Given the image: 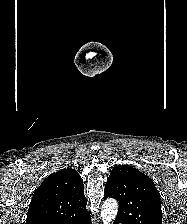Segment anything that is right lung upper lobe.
<instances>
[{"label":"right lung upper lobe","mask_w":187,"mask_h":224,"mask_svg":"<svg viewBox=\"0 0 187 224\" xmlns=\"http://www.w3.org/2000/svg\"><path fill=\"white\" fill-rule=\"evenodd\" d=\"M82 178L72 169L48 176L35 190L26 224H76L90 217Z\"/></svg>","instance_id":"obj_1"}]
</instances>
